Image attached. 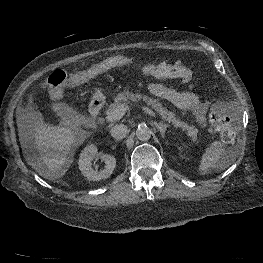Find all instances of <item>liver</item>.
I'll list each match as a JSON object with an SVG mask.
<instances>
[{
  "label": "liver",
  "instance_id": "liver-1",
  "mask_svg": "<svg viewBox=\"0 0 263 263\" xmlns=\"http://www.w3.org/2000/svg\"><path fill=\"white\" fill-rule=\"evenodd\" d=\"M16 118L22 147H26V139L30 136L40 155L30 165L43 178L55 180L63 177L73 162L74 147L83 143L86 132L74 123L65 126L48 125L42 121L30 123L20 111H17Z\"/></svg>",
  "mask_w": 263,
  "mask_h": 263
}]
</instances>
